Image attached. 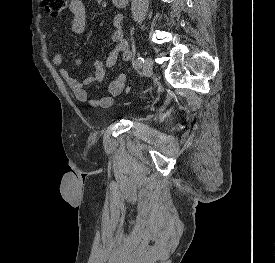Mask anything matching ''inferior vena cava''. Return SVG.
<instances>
[{
    "mask_svg": "<svg viewBox=\"0 0 275 263\" xmlns=\"http://www.w3.org/2000/svg\"><path fill=\"white\" fill-rule=\"evenodd\" d=\"M132 14L133 19L141 24L148 11V0H132Z\"/></svg>",
    "mask_w": 275,
    "mask_h": 263,
    "instance_id": "602c4592",
    "label": "inferior vena cava"
}]
</instances>
